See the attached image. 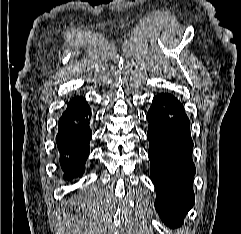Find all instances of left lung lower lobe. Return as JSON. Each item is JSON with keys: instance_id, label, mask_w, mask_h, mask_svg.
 <instances>
[{"instance_id": "0a47b994", "label": "left lung lower lobe", "mask_w": 241, "mask_h": 234, "mask_svg": "<svg viewBox=\"0 0 241 234\" xmlns=\"http://www.w3.org/2000/svg\"><path fill=\"white\" fill-rule=\"evenodd\" d=\"M147 120L150 176L157 192L155 208L167 226L178 227L194 204L190 122L183 105L164 93L154 97Z\"/></svg>"}]
</instances>
